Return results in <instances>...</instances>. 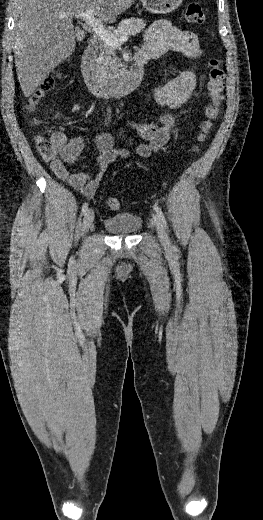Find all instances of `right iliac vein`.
Returning a JSON list of instances; mask_svg holds the SVG:
<instances>
[{"mask_svg":"<svg viewBox=\"0 0 263 520\" xmlns=\"http://www.w3.org/2000/svg\"><path fill=\"white\" fill-rule=\"evenodd\" d=\"M94 221V211L92 209H88L84 215L83 219V230L87 232L92 226Z\"/></svg>","mask_w":263,"mask_h":520,"instance_id":"obj_1","label":"right iliac vein"}]
</instances>
